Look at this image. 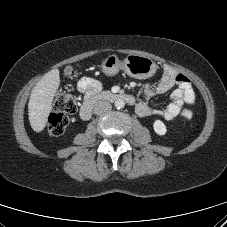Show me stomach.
Listing matches in <instances>:
<instances>
[{
	"mask_svg": "<svg viewBox=\"0 0 227 227\" xmlns=\"http://www.w3.org/2000/svg\"><path fill=\"white\" fill-rule=\"evenodd\" d=\"M101 69L108 76L115 75L123 69L130 77L147 79L155 74L157 65L151 58L143 55L131 54L121 62L115 54H112L103 60Z\"/></svg>",
	"mask_w": 227,
	"mask_h": 227,
	"instance_id": "stomach-1",
	"label": "stomach"
}]
</instances>
